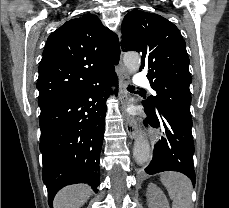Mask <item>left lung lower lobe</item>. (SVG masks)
I'll use <instances>...</instances> for the list:
<instances>
[{"mask_svg": "<svg viewBox=\"0 0 229 208\" xmlns=\"http://www.w3.org/2000/svg\"><path fill=\"white\" fill-rule=\"evenodd\" d=\"M144 107L148 116L147 122L154 127L160 126L164 131V136L155 145L152 161L145 172L155 174L162 171H178L188 176L194 186L196 177L193 164L192 118L169 110L149 108L146 105Z\"/></svg>", "mask_w": 229, "mask_h": 208, "instance_id": "left-lung-lower-lobe-1", "label": "left lung lower lobe"}]
</instances>
